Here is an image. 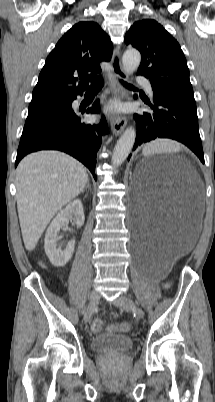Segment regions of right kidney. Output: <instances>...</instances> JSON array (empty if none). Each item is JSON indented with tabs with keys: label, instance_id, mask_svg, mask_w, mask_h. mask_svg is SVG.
Wrapping results in <instances>:
<instances>
[{
	"label": "right kidney",
	"instance_id": "ca27d5eb",
	"mask_svg": "<svg viewBox=\"0 0 215 402\" xmlns=\"http://www.w3.org/2000/svg\"><path fill=\"white\" fill-rule=\"evenodd\" d=\"M69 219H73L78 226H82L85 220L81 200L71 201L65 209L61 210L49 225L45 235V253L50 262L57 267H63L71 259L75 248V240L68 242L62 250L57 242L61 239L58 235L60 230L65 228Z\"/></svg>",
	"mask_w": 215,
	"mask_h": 402
}]
</instances>
